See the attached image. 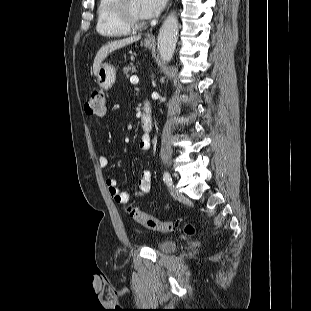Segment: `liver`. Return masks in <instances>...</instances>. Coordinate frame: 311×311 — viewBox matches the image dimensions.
<instances>
[{"mask_svg":"<svg viewBox=\"0 0 311 311\" xmlns=\"http://www.w3.org/2000/svg\"><path fill=\"white\" fill-rule=\"evenodd\" d=\"M141 39V36H131L128 38H124L121 40H116L111 43H108L100 48V50L97 52L96 57L94 59L93 63V73L96 76L97 71L99 69V66L102 64V61L108 56L109 53L120 49L126 45L132 44L136 41H139Z\"/></svg>","mask_w":311,"mask_h":311,"instance_id":"liver-1","label":"liver"}]
</instances>
